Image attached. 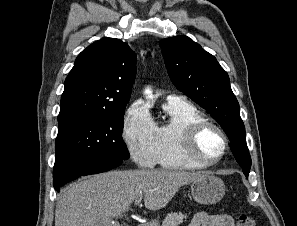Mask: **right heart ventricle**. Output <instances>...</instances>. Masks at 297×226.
I'll return each instance as SVG.
<instances>
[{
	"label": "right heart ventricle",
	"instance_id": "1",
	"mask_svg": "<svg viewBox=\"0 0 297 226\" xmlns=\"http://www.w3.org/2000/svg\"><path fill=\"white\" fill-rule=\"evenodd\" d=\"M164 111L169 120L157 126L158 163L169 169L201 168L184 155L180 132L187 125L205 119V115L184 99H168Z\"/></svg>",
	"mask_w": 297,
	"mask_h": 226
}]
</instances>
